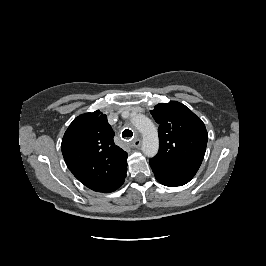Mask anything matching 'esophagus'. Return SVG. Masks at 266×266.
<instances>
[{"label":"esophagus","mask_w":266,"mask_h":266,"mask_svg":"<svg viewBox=\"0 0 266 266\" xmlns=\"http://www.w3.org/2000/svg\"><path fill=\"white\" fill-rule=\"evenodd\" d=\"M140 145H141V140L140 139H135V140L132 141V146L133 147L138 148V147H140Z\"/></svg>","instance_id":"obj_1"}]
</instances>
